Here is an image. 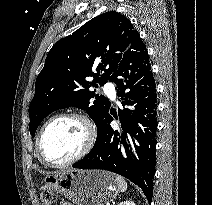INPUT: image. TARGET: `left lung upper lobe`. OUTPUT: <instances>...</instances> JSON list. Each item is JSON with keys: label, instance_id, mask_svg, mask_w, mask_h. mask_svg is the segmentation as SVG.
<instances>
[{"label": "left lung upper lobe", "instance_id": "left-lung-upper-lobe-1", "mask_svg": "<svg viewBox=\"0 0 212 205\" xmlns=\"http://www.w3.org/2000/svg\"><path fill=\"white\" fill-rule=\"evenodd\" d=\"M137 35L131 21L113 11L91 19L71 36L59 40L36 79L29 107L31 135L35 136L38 125L50 113L71 106L85 110L98 127L110 102L88 89L110 79Z\"/></svg>", "mask_w": 212, "mask_h": 205}]
</instances>
